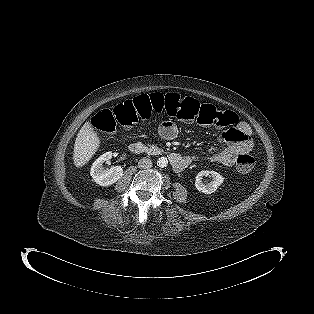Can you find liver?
<instances>
[{"label": "liver", "instance_id": "obj_1", "mask_svg": "<svg viewBox=\"0 0 314 314\" xmlns=\"http://www.w3.org/2000/svg\"><path fill=\"white\" fill-rule=\"evenodd\" d=\"M100 143V138L91 124L86 122L80 129L75 140L73 151L74 165L77 168H81L87 164L100 147Z\"/></svg>", "mask_w": 314, "mask_h": 314}]
</instances>
